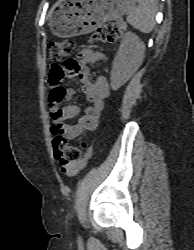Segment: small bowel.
<instances>
[{"mask_svg": "<svg viewBox=\"0 0 194 250\" xmlns=\"http://www.w3.org/2000/svg\"><path fill=\"white\" fill-rule=\"evenodd\" d=\"M106 54L102 50L92 48L83 49L76 60H68L64 64H54L52 72L62 74L64 77H77L81 83L88 105L84 108L81 117L73 123L69 120L76 117L79 107L71 103L75 91L73 88H65V97L68 102L60 107L59 104L50 101L51 115L54 120L52 130L59 133L66 139L71 140L80 136L85 131L95 130L98 126L100 113L104 107V101L110 94V85L104 76H99L95 81H91L90 67L105 60ZM92 150L89 148L84 156L62 172L69 176H74L80 172L91 157Z\"/></svg>", "mask_w": 194, "mask_h": 250, "instance_id": "obj_1", "label": "small bowel"}]
</instances>
